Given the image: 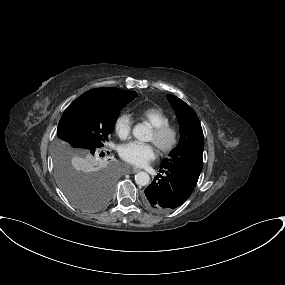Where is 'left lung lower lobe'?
Wrapping results in <instances>:
<instances>
[{"instance_id":"obj_1","label":"left lung lower lobe","mask_w":285,"mask_h":285,"mask_svg":"<svg viewBox=\"0 0 285 285\" xmlns=\"http://www.w3.org/2000/svg\"><path fill=\"white\" fill-rule=\"evenodd\" d=\"M156 179L145 189L144 204L155 212H167L184 203L192 194L196 180L172 168L160 167Z\"/></svg>"}]
</instances>
